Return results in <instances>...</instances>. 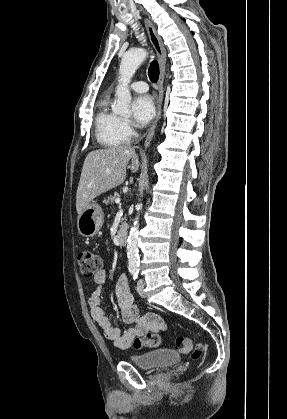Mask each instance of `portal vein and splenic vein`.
I'll use <instances>...</instances> for the list:
<instances>
[{"instance_id": "portal-vein-and-splenic-vein-1", "label": "portal vein and splenic vein", "mask_w": 287, "mask_h": 419, "mask_svg": "<svg viewBox=\"0 0 287 419\" xmlns=\"http://www.w3.org/2000/svg\"><path fill=\"white\" fill-rule=\"evenodd\" d=\"M115 202L118 204V203H120V199L119 198H116L115 199Z\"/></svg>"}]
</instances>
